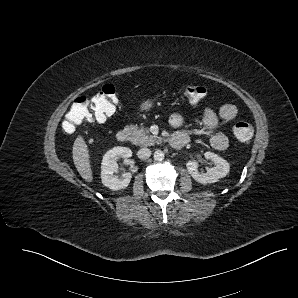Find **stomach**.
I'll list each match as a JSON object with an SVG mask.
<instances>
[{
  "mask_svg": "<svg viewBox=\"0 0 298 298\" xmlns=\"http://www.w3.org/2000/svg\"><path fill=\"white\" fill-rule=\"evenodd\" d=\"M154 100H147L144 103L141 104V110L142 111H147L150 110L153 107Z\"/></svg>",
  "mask_w": 298,
  "mask_h": 298,
  "instance_id": "obj_1",
  "label": "stomach"
}]
</instances>
